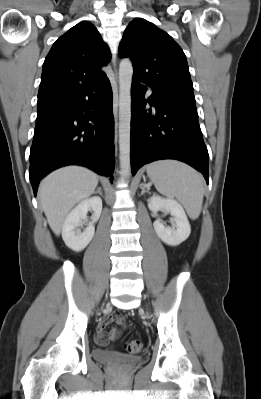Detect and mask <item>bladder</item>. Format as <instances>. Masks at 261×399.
I'll return each instance as SVG.
<instances>
[{
  "label": "bladder",
  "instance_id": "31cf9c89",
  "mask_svg": "<svg viewBox=\"0 0 261 399\" xmlns=\"http://www.w3.org/2000/svg\"><path fill=\"white\" fill-rule=\"evenodd\" d=\"M93 358L98 362L106 364H133L140 360L138 356H131L120 352L103 349H95L93 351Z\"/></svg>",
  "mask_w": 261,
  "mask_h": 399
}]
</instances>
